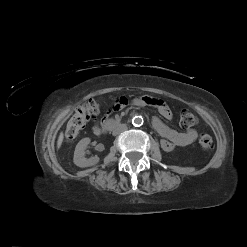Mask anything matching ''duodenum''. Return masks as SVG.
<instances>
[{
    "mask_svg": "<svg viewBox=\"0 0 247 247\" xmlns=\"http://www.w3.org/2000/svg\"><path fill=\"white\" fill-rule=\"evenodd\" d=\"M121 123V120L119 118H110L105 121V123L102 126L101 131L107 132L113 129L114 127L118 126Z\"/></svg>",
    "mask_w": 247,
    "mask_h": 247,
    "instance_id": "410a0bca",
    "label": "duodenum"
}]
</instances>
